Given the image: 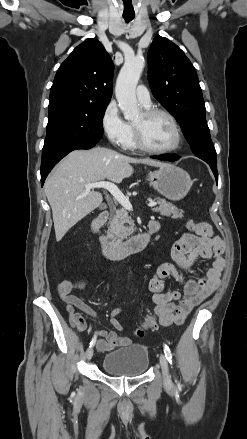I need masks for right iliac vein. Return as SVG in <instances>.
<instances>
[{
    "instance_id": "right-iliac-vein-1",
    "label": "right iliac vein",
    "mask_w": 247,
    "mask_h": 439,
    "mask_svg": "<svg viewBox=\"0 0 247 439\" xmlns=\"http://www.w3.org/2000/svg\"><path fill=\"white\" fill-rule=\"evenodd\" d=\"M92 356H93V348L90 347V348L86 351V358H87V360H91Z\"/></svg>"
}]
</instances>
